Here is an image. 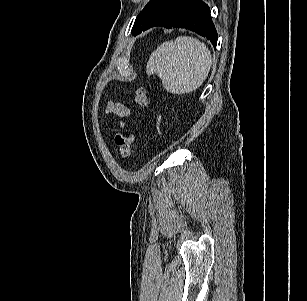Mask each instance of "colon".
<instances>
[{
    "mask_svg": "<svg viewBox=\"0 0 307 301\" xmlns=\"http://www.w3.org/2000/svg\"><path fill=\"white\" fill-rule=\"evenodd\" d=\"M134 102L138 107L145 108L149 104V95L144 88H139L134 94ZM134 135L128 131H119L115 135V143L119 147L122 159H127L132 151Z\"/></svg>",
    "mask_w": 307,
    "mask_h": 301,
    "instance_id": "colon-1",
    "label": "colon"
}]
</instances>
